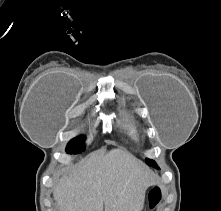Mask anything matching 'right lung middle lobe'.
<instances>
[{"label":"right lung middle lobe","mask_w":221,"mask_h":211,"mask_svg":"<svg viewBox=\"0 0 221 211\" xmlns=\"http://www.w3.org/2000/svg\"><path fill=\"white\" fill-rule=\"evenodd\" d=\"M84 140H85L84 136H79L70 140V142L66 147L67 153L77 154L84 151Z\"/></svg>","instance_id":"obj_1"}]
</instances>
